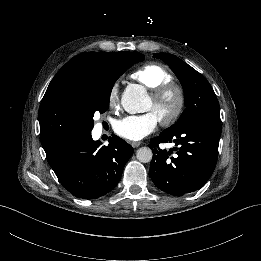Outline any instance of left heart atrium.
Masks as SVG:
<instances>
[{
    "instance_id": "obj_1",
    "label": "left heart atrium",
    "mask_w": 261,
    "mask_h": 261,
    "mask_svg": "<svg viewBox=\"0 0 261 261\" xmlns=\"http://www.w3.org/2000/svg\"><path fill=\"white\" fill-rule=\"evenodd\" d=\"M158 117L153 112L130 115L115 122L114 132L129 141H139L151 134L157 127Z\"/></svg>"
}]
</instances>
